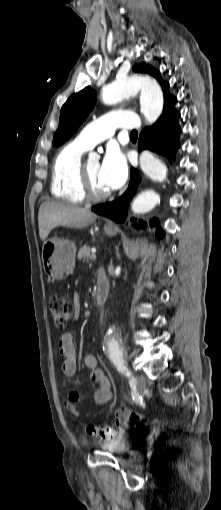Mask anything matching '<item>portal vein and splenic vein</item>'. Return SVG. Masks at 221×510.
<instances>
[{
    "label": "portal vein and splenic vein",
    "mask_w": 221,
    "mask_h": 510,
    "mask_svg": "<svg viewBox=\"0 0 221 510\" xmlns=\"http://www.w3.org/2000/svg\"><path fill=\"white\" fill-rule=\"evenodd\" d=\"M90 259H91V260H96V255L93 253V254L90 256Z\"/></svg>",
    "instance_id": "1"
}]
</instances>
